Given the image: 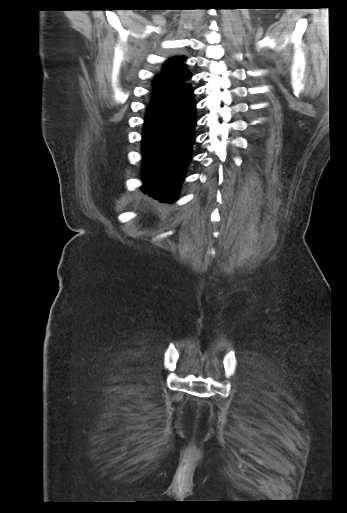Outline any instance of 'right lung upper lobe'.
Returning <instances> with one entry per match:
<instances>
[{
    "label": "right lung upper lobe",
    "mask_w": 347,
    "mask_h": 513,
    "mask_svg": "<svg viewBox=\"0 0 347 513\" xmlns=\"http://www.w3.org/2000/svg\"><path fill=\"white\" fill-rule=\"evenodd\" d=\"M184 60L186 57H175L165 62L163 70L153 81V96H167L187 84L191 73L185 69Z\"/></svg>",
    "instance_id": "obj_1"
}]
</instances>
